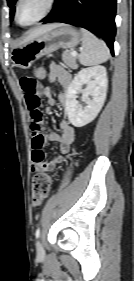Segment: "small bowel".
<instances>
[{"label":"small bowel","mask_w":134,"mask_h":281,"mask_svg":"<svg viewBox=\"0 0 134 281\" xmlns=\"http://www.w3.org/2000/svg\"><path fill=\"white\" fill-rule=\"evenodd\" d=\"M47 80L50 84L59 83L61 90L58 99L62 105L67 103V90L71 82V74L62 66L52 63L49 67ZM19 86L24 92V98L31 118L32 138V168L37 172H49L63 163L64 155L69 153L70 146L75 138V130L67 121L60 122L61 133H44V121L40 110L41 97L46 98L47 104L56 103L50 87H43L41 83L30 75L19 78ZM49 111V109H48ZM47 141L57 144L59 153L45 161L44 147Z\"/></svg>","instance_id":"small-bowel-1"}]
</instances>
